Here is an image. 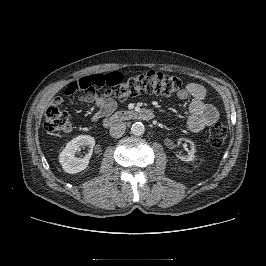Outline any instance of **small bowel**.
Returning a JSON list of instances; mask_svg holds the SVG:
<instances>
[{
  "label": "small bowel",
  "instance_id": "c3829d8e",
  "mask_svg": "<svg viewBox=\"0 0 266 266\" xmlns=\"http://www.w3.org/2000/svg\"><path fill=\"white\" fill-rule=\"evenodd\" d=\"M206 89L197 83L186 84L177 94L181 100H190L189 111L190 116L186 120L185 128L191 132H200L211 126L219 119V112L215 106L206 102ZM80 100L84 103H93L96 105V110L92 115V121L98 122L101 118L106 117L116 109V102L102 94L94 91L84 93ZM55 104L63 102L62 97H56Z\"/></svg>",
  "mask_w": 266,
  "mask_h": 266
}]
</instances>
